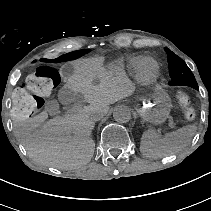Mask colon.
<instances>
[{
	"instance_id": "5ec220e1",
	"label": "colon",
	"mask_w": 211,
	"mask_h": 211,
	"mask_svg": "<svg viewBox=\"0 0 211 211\" xmlns=\"http://www.w3.org/2000/svg\"><path fill=\"white\" fill-rule=\"evenodd\" d=\"M59 83L60 76L57 70L48 66L38 67L13 92L11 109L13 119L26 121L39 113L44 106L45 99L50 96ZM176 99L183 110L185 119L193 121L196 111L188 94L179 91L176 94Z\"/></svg>"
}]
</instances>
